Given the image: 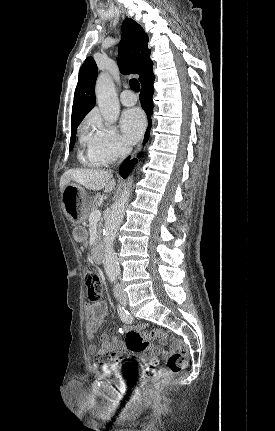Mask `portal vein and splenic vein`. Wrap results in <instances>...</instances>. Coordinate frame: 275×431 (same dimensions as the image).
Wrapping results in <instances>:
<instances>
[{
    "label": "portal vein and splenic vein",
    "mask_w": 275,
    "mask_h": 431,
    "mask_svg": "<svg viewBox=\"0 0 275 431\" xmlns=\"http://www.w3.org/2000/svg\"><path fill=\"white\" fill-rule=\"evenodd\" d=\"M100 218H101V211L100 210H95V211L91 212V214L89 216L90 221H99Z\"/></svg>",
    "instance_id": "portal-vein-and-splenic-vein-1"
}]
</instances>
